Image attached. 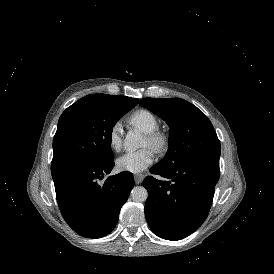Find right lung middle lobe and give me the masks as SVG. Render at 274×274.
Returning <instances> with one entry per match:
<instances>
[{"mask_svg": "<svg viewBox=\"0 0 274 274\" xmlns=\"http://www.w3.org/2000/svg\"><path fill=\"white\" fill-rule=\"evenodd\" d=\"M137 104L126 96L80 99L58 121L51 170L78 163L103 165L113 161L112 128Z\"/></svg>", "mask_w": 274, "mask_h": 274, "instance_id": "right-lung-middle-lobe-1", "label": "right lung middle lobe"}]
</instances>
